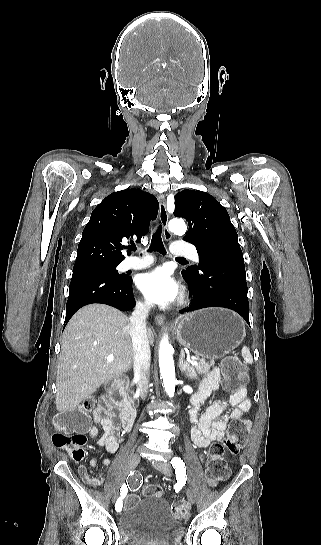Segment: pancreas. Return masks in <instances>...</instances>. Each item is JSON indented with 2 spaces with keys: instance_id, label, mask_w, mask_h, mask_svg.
Masks as SVG:
<instances>
[{
  "instance_id": "cf45deb5",
  "label": "pancreas",
  "mask_w": 321,
  "mask_h": 545,
  "mask_svg": "<svg viewBox=\"0 0 321 545\" xmlns=\"http://www.w3.org/2000/svg\"><path fill=\"white\" fill-rule=\"evenodd\" d=\"M195 361H198V365H195V377H197V373L199 375H207L210 371V367H214L215 361H210V363H207L205 359H195Z\"/></svg>"
}]
</instances>
